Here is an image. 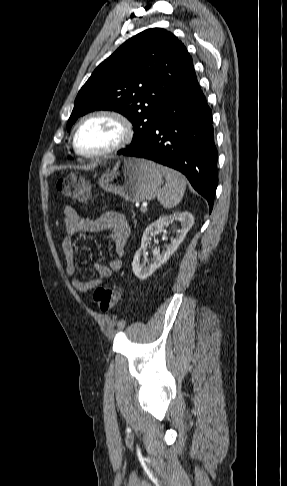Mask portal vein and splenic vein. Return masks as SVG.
Segmentation results:
<instances>
[{"instance_id": "1", "label": "portal vein and splenic vein", "mask_w": 287, "mask_h": 486, "mask_svg": "<svg viewBox=\"0 0 287 486\" xmlns=\"http://www.w3.org/2000/svg\"><path fill=\"white\" fill-rule=\"evenodd\" d=\"M141 212L145 213L147 212V205H142V207L140 208Z\"/></svg>"}]
</instances>
